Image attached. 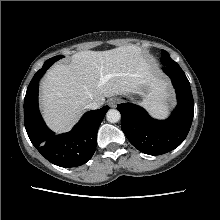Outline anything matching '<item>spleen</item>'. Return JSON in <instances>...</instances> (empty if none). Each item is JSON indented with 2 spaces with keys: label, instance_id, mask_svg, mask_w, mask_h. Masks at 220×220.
Segmentation results:
<instances>
[{
  "label": "spleen",
  "instance_id": "1",
  "mask_svg": "<svg viewBox=\"0 0 220 220\" xmlns=\"http://www.w3.org/2000/svg\"><path fill=\"white\" fill-rule=\"evenodd\" d=\"M146 109L155 118H166L170 113V106L167 98L162 95H156L146 104Z\"/></svg>",
  "mask_w": 220,
  "mask_h": 220
}]
</instances>
